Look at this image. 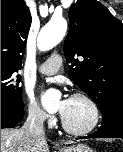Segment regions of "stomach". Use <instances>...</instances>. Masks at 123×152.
<instances>
[{
    "label": "stomach",
    "mask_w": 123,
    "mask_h": 152,
    "mask_svg": "<svg viewBox=\"0 0 123 152\" xmlns=\"http://www.w3.org/2000/svg\"><path fill=\"white\" fill-rule=\"evenodd\" d=\"M60 152H93V150L84 144H78L61 149Z\"/></svg>",
    "instance_id": "0dacf381"
}]
</instances>
